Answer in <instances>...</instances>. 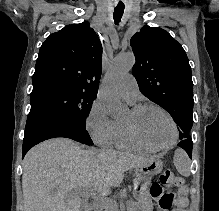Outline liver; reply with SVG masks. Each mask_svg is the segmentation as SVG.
Wrapping results in <instances>:
<instances>
[{"instance_id": "liver-1", "label": "liver", "mask_w": 219, "mask_h": 211, "mask_svg": "<svg viewBox=\"0 0 219 211\" xmlns=\"http://www.w3.org/2000/svg\"><path fill=\"white\" fill-rule=\"evenodd\" d=\"M146 155L124 151L83 149L68 137H52L29 149L23 159L24 211H91L103 191L119 187L125 171L146 163ZM88 193L93 203H82Z\"/></svg>"}]
</instances>
